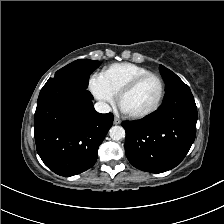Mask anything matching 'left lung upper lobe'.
<instances>
[{"label": "left lung upper lobe", "mask_w": 224, "mask_h": 224, "mask_svg": "<svg viewBox=\"0 0 224 224\" xmlns=\"http://www.w3.org/2000/svg\"><path fill=\"white\" fill-rule=\"evenodd\" d=\"M160 72L166 84L164 99L174 96L181 90L189 89V87L175 73L166 67L161 65Z\"/></svg>", "instance_id": "1"}]
</instances>
